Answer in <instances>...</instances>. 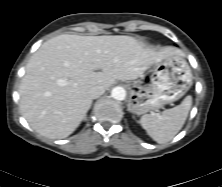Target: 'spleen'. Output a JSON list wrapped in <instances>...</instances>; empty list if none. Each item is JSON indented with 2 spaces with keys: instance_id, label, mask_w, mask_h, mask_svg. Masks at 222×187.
I'll use <instances>...</instances> for the list:
<instances>
[{
  "instance_id": "spleen-1",
  "label": "spleen",
  "mask_w": 222,
  "mask_h": 187,
  "mask_svg": "<svg viewBox=\"0 0 222 187\" xmlns=\"http://www.w3.org/2000/svg\"><path fill=\"white\" fill-rule=\"evenodd\" d=\"M192 97L187 96L180 105L166 109L161 115L145 114L140 119L141 126L157 143L164 144L174 138L183 127L191 109Z\"/></svg>"
}]
</instances>
